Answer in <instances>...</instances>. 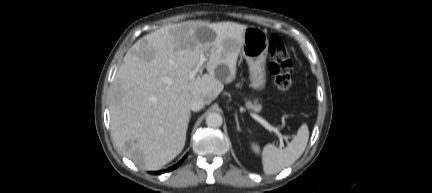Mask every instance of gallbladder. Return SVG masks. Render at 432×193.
Here are the masks:
<instances>
[{
    "instance_id": "gallbladder-1",
    "label": "gallbladder",
    "mask_w": 432,
    "mask_h": 193,
    "mask_svg": "<svg viewBox=\"0 0 432 193\" xmlns=\"http://www.w3.org/2000/svg\"><path fill=\"white\" fill-rule=\"evenodd\" d=\"M206 31H208V32H212L211 30H208V29H206ZM202 40V39H201Z\"/></svg>"
}]
</instances>
